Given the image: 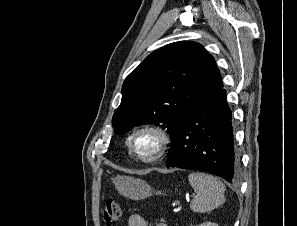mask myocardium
Wrapping results in <instances>:
<instances>
[{"label": "myocardium", "mask_w": 297, "mask_h": 226, "mask_svg": "<svg viewBox=\"0 0 297 226\" xmlns=\"http://www.w3.org/2000/svg\"><path fill=\"white\" fill-rule=\"evenodd\" d=\"M151 133L157 138V143L152 151L146 155L139 152L136 142L140 135ZM171 143L169 133L161 126L153 123H147L135 128L129 136L128 147L132 155L141 163L151 164L159 161L165 154Z\"/></svg>", "instance_id": "obj_1"}]
</instances>
